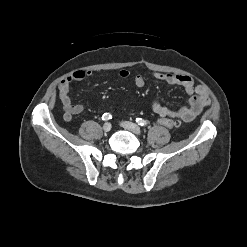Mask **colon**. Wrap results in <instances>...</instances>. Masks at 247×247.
I'll return each instance as SVG.
<instances>
[{
  "mask_svg": "<svg viewBox=\"0 0 247 247\" xmlns=\"http://www.w3.org/2000/svg\"><path fill=\"white\" fill-rule=\"evenodd\" d=\"M157 122L167 128H173L177 125V122L171 118L161 117L157 120Z\"/></svg>",
  "mask_w": 247,
  "mask_h": 247,
  "instance_id": "obj_1",
  "label": "colon"
}]
</instances>
